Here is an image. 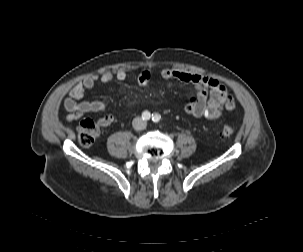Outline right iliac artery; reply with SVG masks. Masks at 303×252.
Listing matches in <instances>:
<instances>
[{
	"mask_svg": "<svg viewBox=\"0 0 303 252\" xmlns=\"http://www.w3.org/2000/svg\"><path fill=\"white\" fill-rule=\"evenodd\" d=\"M150 117H151V114H150L149 111H144V112L142 113V119H143V120L147 121V120L150 119Z\"/></svg>",
	"mask_w": 303,
	"mask_h": 252,
	"instance_id": "1",
	"label": "right iliac artery"
}]
</instances>
